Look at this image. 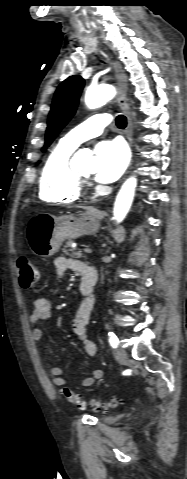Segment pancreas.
Returning <instances> with one entry per match:
<instances>
[{
    "instance_id": "obj_1",
    "label": "pancreas",
    "mask_w": 187,
    "mask_h": 479,
    "mask_svg": "<svg viewBox=\"0 0 187 479\" xmlns=\"http://www.w3.org/2000/svg\"><path fill=\"white\" fill-rule=\"evenodd\" d=\"M72 244H73L72 240L67 241L66 245L64 246L63 252L65 254H68L69 252H71V257L73 258H82L83 254L81 252L75 251V249L72 247Z\"/></svg>"
}]
</instances>
